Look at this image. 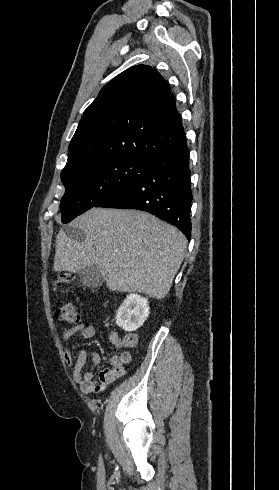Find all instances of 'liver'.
<instances>
[{"instance_id":"liver-1","label":"liver","mask_w":279,"mask_h":490,"mask_svg":"<svg viewBox=\"0 0 279 490\" xmlns=\"http://www.w3.org/2000/svg\"><path fill=\"white\" fill-rule=\"evenodd\" d=\"M72 224L84 230L86 240L74 242L60 230L54 272L99 266L112 292L167 296L187 248L180 230L147 212L109 208H92Z\"/></svg>"}]
</instances>
